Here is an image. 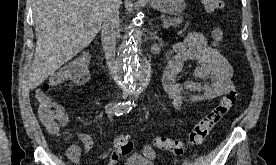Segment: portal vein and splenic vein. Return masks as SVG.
Here are the masks:
<instances>
[{
	"instance_id": "1",
	"label": "portal vein and splenic vein",
	"mask_w": 276,
	"mask_h": 165,
	"mask_svg": "<svg viewBox=\"0 0 276 165\" xmlns=\"http://www.w3.org/2000/svg\"><path fill=\"white\" fill-rule=\"evenodd\" d=\"M169 26H170V23H169V22H167V21H164V23H163V27L168 28Z\"/></svg>"
}]
</instances>
